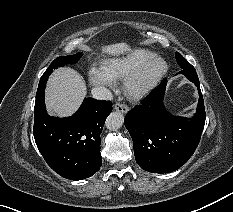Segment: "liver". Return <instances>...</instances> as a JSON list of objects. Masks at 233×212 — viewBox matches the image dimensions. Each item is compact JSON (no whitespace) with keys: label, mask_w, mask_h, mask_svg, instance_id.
<instances>
[{"label":"liver","mask_w":233,"mask_h":212,"mask_svg":"<svg viewBox=\"0 0 233 212\" xmlns=\"http://www.w3.org/2000/svg\"><path fill=\"white\" fill-rule=\"evenodd\" d=\"M103 54L118 56L131 51L125 42L102 46ZM86 84L83 77L75 70L59 68L50 76L46 88V107L50 115L71 116L86 96Z\"/></svg>","instance_id":"liver-1"}]
</instances>
